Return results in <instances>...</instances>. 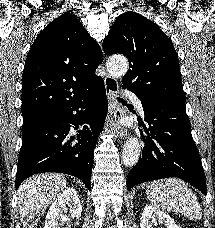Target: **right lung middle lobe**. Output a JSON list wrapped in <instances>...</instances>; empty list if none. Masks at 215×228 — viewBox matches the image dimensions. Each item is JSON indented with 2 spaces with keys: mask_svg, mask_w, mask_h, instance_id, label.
Masks as SVG:
<instances>
[{
  "mask_svg": "<svg viewBox=\"0 0 215 228\" xmlns=\"http://www.w3.org/2000/svg\"><path fill=\"white\" fill-rule=\"evenodd\" d=\"M35 123H37V122H35ZM35 123L23 124L22 130H25V129L29 128L30 126H32Z\"/></svg>",
  "mask_w": 215,
  "mask_h": 228,
  "instance_id": "obj_1",
  "label": "right lung middle lobe"
}]
</instances>
